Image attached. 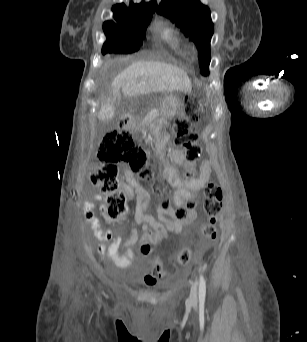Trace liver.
Returning a JSON list of instances; mask_svg holds the SVG:
<instances>
[{
  "label": "liver",
  "mask_w": 307,
  "mask_h": 342,
  "mask_svg": "<svg viewBox=\"0 0 307 342\" xmlns=\"http://www.w3.org/2000/svg\"><path fill=\"white\" fill-rule=\"evenodd\" d=\"M112 95L142 96L151 92H191V80L182 68L165 62H133L111 84Z\"/></svg>",
  "instance_id": "6515ba94"
}]
</instances>
